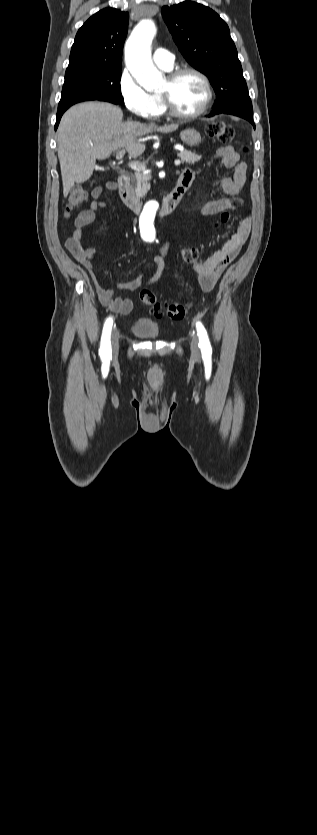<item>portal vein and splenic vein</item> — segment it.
<instances>
[{
  "mask_svg": "<svg viewBox=\"0 0 317 835\" xmlns=\"http://www.w3.org/2000/svg\"><path fill=\"white\" fill-rule=\"evenodd\" d=\"M176 148H177V147H176ZM124 154H125V150H124V149L119 150V151L116 153V159H117V160L122 159V158H123V156H124ZM174 163H175V166H180L181 161H180V160H175V162H174ZM129 167H130V168H132V169H134V170H137V171H143V172L147 173V170H146V165H145V164H143V163H141V162H138V161H132V162H130V163H129Z\"/></svg>",
  "mask_w": 317,
  "mask_h": 835,
  "instance_id": "1",
  "label": "portal vein and splenic vein"
}]
</instances>
